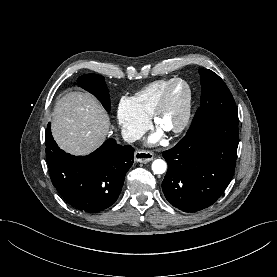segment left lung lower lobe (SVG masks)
<instances>
[{"instance_id": "1", "label": "left lung lower lobe", "mask_w": 277, "mask_h": 277, "mask_svg": "<svg viewBox=\"0 0 277 277\" xmlns=\"http://www.w3.org/2000/svg\"><path fill=\"white\" fill-rule=\"evenodd\" d=\"M238 142V125L215 122L164 151L168 170L162 190L169 203L188 213L212 205L233 177Z\"/></svg>"}]
</instances>
